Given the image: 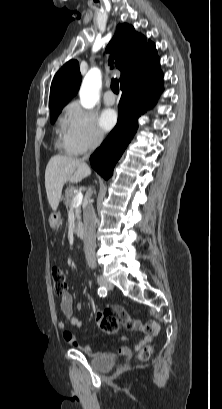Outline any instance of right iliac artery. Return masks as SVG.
<instances>
[{"label":"right iliac artery","instance_id":"1","mask_svg":"<svg viewBox=\"0 0 222 409\" xmlns=\"http://www.w3.org/2000/svg\"><path fill=\"white\" fill-rule=\"evenodd\" d=\"M98 295L100 297H105L107 295V289L105 287L98 288Z\"/></svg>","mask_w":222,"mask_h":409}]
</instances>
